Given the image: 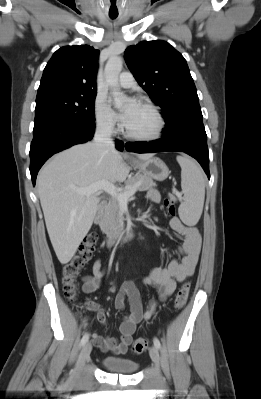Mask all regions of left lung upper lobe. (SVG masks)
Returning <instances> with one entry per match:
<instances>
[{
    "label": "left lung upper lobe",
    "instance_id": "left-lung-upper-lobe-1",
    "mask_svg": "<svg viewBox=\"0 0 261 399\" xmlns=\"http://www.w3.org/2000/svg\"><path fill=\"white\" fill-rule=\"evenodd\" d=\"M125 60L139 85L163 109L164 136L192 122L203 121L186 60L168 42L142 41L129 46Z\"/></svg>",
    "mask_w": 261,
    "mask_h": 399
}]
</instances>
